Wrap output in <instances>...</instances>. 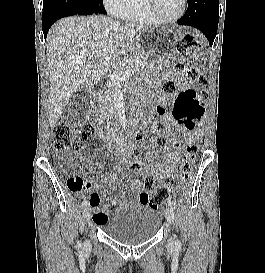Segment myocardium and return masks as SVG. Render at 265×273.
Segmentation results:
<instances>
[{"label":"myocardium","mask_w":265,"mask_h":273,"mask_svg":"<svg viewBox=\"0 0 265 273\" xmlns=\"http://www.w3.org/2000/svg\"><path fill=\"white\" fill-rule=\"evenodd\" d=\"M145 1V7L147 9V12L149 13L150 17L155 21L157 24H166V23H174L180 20L186 13L188 2L187 0H182V9L181 12L173 17V18H163L159 16L155 9V2L156 0H144Z\"/></svg>","instance_id":"myocardium-1"}]
</instances>
